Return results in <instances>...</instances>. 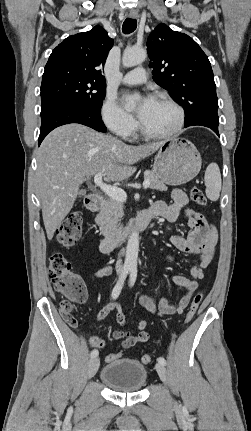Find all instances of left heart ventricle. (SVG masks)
<instances>
[{
  "label": "left heart ventricle",
  "instance_id": "1",
  "mask_svg": "<svg viewBox=\"0 0 251 431\" xmlns=\"http://www.w3.org/2000/svg\"><path fill=\"white\" fill-rule=\"evenodd\" d=\"M139 118L148 131L163 133L169 131L175 125L177 112L171 105L163 101L154 100L152 106Z\"/></svg>",
  "mask_w": 251,
  "mask_h": 431
}]
</instances>
